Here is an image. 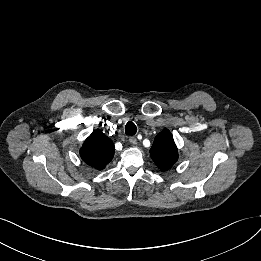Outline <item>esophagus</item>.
Wrapping results in <instances>:
<instances>
[{"label": "esophagus", "instance_id": "obj_1", "mask_svg": "<svg viewBox=\"0 0 261 261\" xmlns=\"http://www.w3.org/2000/svg\"><path fill=\"white\" fill-rule=\"evenodd\" d=\"M129 142L131 143V144H133V145H137V139L134 137V136H131L130 138H129Z\"/></svg>", "mask_w": 261, "mask_h": 261}]
</instances>
